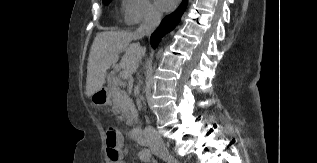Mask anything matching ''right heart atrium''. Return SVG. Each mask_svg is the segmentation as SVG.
<instances>
[{"label": "right heart atrium", "mask_w": 317, "mask_h": 163, "mask_svg": "<svg viewBox=\"0 0 317 163\" xmlns=\"http://www.w3.org/2000/svg\"><path fill=\"white\" fill-rule=\"evenodd\" d=\"M122 15L127 25L156 20L160 12L151 0H122Z\"/></svg>", "instance_id": "1"}]
</instances>
